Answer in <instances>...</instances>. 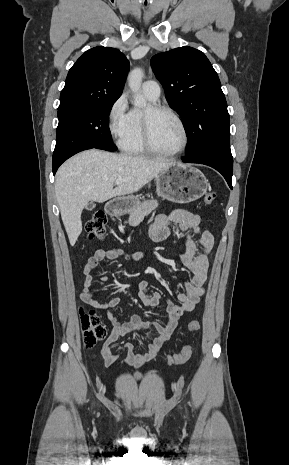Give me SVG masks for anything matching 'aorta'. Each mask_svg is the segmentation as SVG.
<instances>
[{
    "mask_svg": "<svg viewBox=\"0 0 289 465\" xmlns=\"http://www.w3.org/2000/svg\"><path fill=\"white\" fill-rule=\"evenodd\" d=\"M144 72L140 68L133 69L128 75V85L131 92L134 94V104L137 107H146L147 102L144 97L140 94L142 79Z\"/></svg>",
    "mask_w": 289,
    "mask_h": 465,
    "instance_id": "obj_1",
    "label": "aorta"
}]
</instances>
